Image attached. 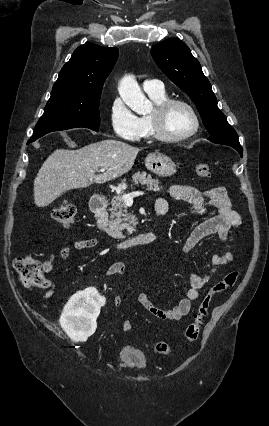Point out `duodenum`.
<instances>
[{
  "label": "duodenum",
  "instance_id": "1",
  "mask_svg": "<svg viewBox=\"0 0 269 426\" xmlns=\"http://www.w3.org/2000/svg\"><path fill=\"white\" fill-rule=\"evenodd\" d=\"M108 204V197L103 192L94 194L90 201V207L94 217L100 227L106 226L105 211ZM167 210L165 208H158L157 214L163 217ZM156 239V234L152 232L139 234L133 238L123 240L118 244L120 249H129L136 246H142L153 242Z\"/></svg>",
  "mask_w": 269,
  "mask_h": 426
}]
</instances>
